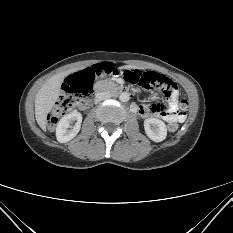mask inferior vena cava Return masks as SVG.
I'll list each match as a JSON object with an SVG mask.
<instances>
[{
	"label": "inferior vena cava",
	"mask_w": 233,
	"mask_h": 233,
	"mask_svg": "<svg viewBox=\"0 0 233 233\" xmlns=\"http://www.w3.org/2000/svg\"><path fill=\"white\" fill-rule=\"evenodd\" d=\"M110 97H111V95L107 92L97 93L95 95V103H98V102L105 100V99H108Z\"/></svg>",
	"instance_id": "1"
}]
</instances>
